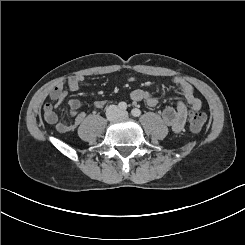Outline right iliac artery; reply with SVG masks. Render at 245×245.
Segmentation results:
<instances>
[{
  "label": "right iliac artery",
  "instance_id": "1",
  "mask_svg": "<svg viewBox=\"0 0 245 245\" xmlns=\"http://www.w3.org/2000/svg\"><path fill=\"white\" fill-rule=\"evenodd\" d=\"M118 108L121 110V111H125L127 109V104L125 102H120L118 104Z\"/></svg>",
  "mask_w": 245,
  "mask_h": 245
}]
</instances>
